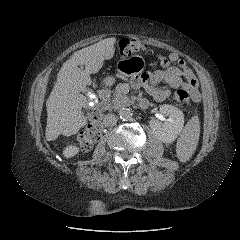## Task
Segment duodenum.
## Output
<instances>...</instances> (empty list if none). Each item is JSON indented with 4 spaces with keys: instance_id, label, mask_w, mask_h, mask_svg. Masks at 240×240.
I'll list each match as a JSON object with an SVG mask.
<instances>
[{
    "instance_id": "duodenum-1",
    "label": "duodenum",
    "mask_w": 240,
    "mask_h": 240,
    "mask_svg": "<svg viewBox=\"0 0 240 240\" xmlns=\"http://www.w3.org/2000/svg\"><path fill=\"white\" fill-rule=\"evenodd\" d=\"M98 95L100 99L104 102L105 106L108 108L109 90L107 88H102L99 90ZM141 105L143 107H146L147 103L144 101H141Z\"/></svg>"
}]
</instances>
